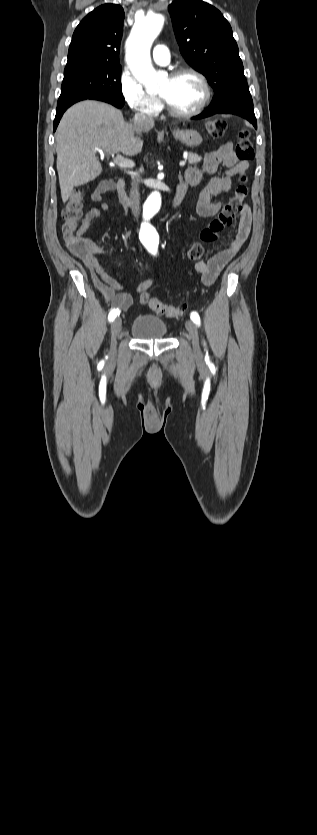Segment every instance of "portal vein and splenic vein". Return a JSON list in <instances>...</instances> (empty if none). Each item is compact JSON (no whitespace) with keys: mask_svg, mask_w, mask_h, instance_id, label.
I'll list each match as a JSON object with an SVG mask.
<instances>
[{"mask_svg":"<svg viewBox=\"0 0 317 835\" xmlns=\"http://www.w3.org/2000/svg\"><path fill=\"white\" fill-rule=\"evenodd\" d=\"M113 161H114V163H115L116 165H118V166H119V167H121V168H129V167H133V166H134V162H133L132 160H129V159L123 158L121 155H117V156L114 158V160H113ZM179 165H180V167L184 168V167H185V165H186V162H185V161H181V162L179 163Z\"/></svg>","mask_w":317,"mask_h":835,"instance_id":"1","label":"portal vein and splenic vein"}]
</instances>
